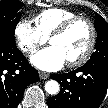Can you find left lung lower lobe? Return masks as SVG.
<instances>
[{
	"label": "left lung lower lobe",
	"instance_id": "left-lung-lower-lobe-1",
	"mask_svg": "<svg viewBox=\"0 0 108 108\" xmlns=\"http://www.w3.org/2000/svg\"><path fill=\"white\" fill-rule=\"evenodd\" d=\"M51 78L60 83L61 90L47 100L49 108H98L108 90V61L91 60L75 71L52 74Z\"/></svg>",
	"mask_w": 108,
	"mask_h": 108
}]
</instances>
